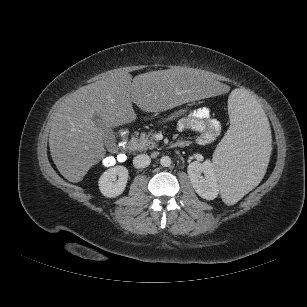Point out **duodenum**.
Returning <instances> with one entry per match:
<instances>
[{"mask_svg": "<svg viewBox=\"0 0 307 307\" xmlns=\"http://www.w3.org/2000/svg\"><path fill=\"white\" fill-rule=\"evenodd\" d=\"M177 148H182L186 146V143L184 141L178 140L174 142L173 144ZM137 148V142L134 139H131L128 141V153L134 152Z\"/></svg>", "mask_w": 307, "mask_h": 307, "instance_id": "1", "label": "duodenum"}]
</instances>
